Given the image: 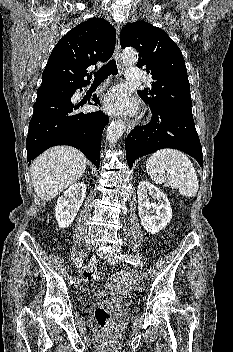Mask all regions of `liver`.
Returning a JSON list of instances; mask_svg holds the SVG:
<instances>
[{"label": "liver", "instance_id": "obj_1", "mask_svg": "<svg viewBox=\"0 0 233 352\" xmlns=\"http://www.w3.org/2000/svg\"><path fill=\"white\" fill-rule=\"evenodd\" d=\"M86 157L68 146L52 147L37 157L30 166L34 191L48 201L82 177Z\"/></svg>", "mask_w": 233, "mask_h": 352}]
</instances>
